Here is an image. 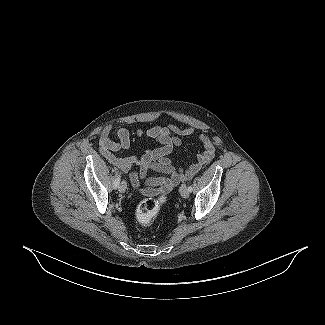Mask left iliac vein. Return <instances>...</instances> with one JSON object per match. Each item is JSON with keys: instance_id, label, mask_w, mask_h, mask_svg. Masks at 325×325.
Masks as SVG:
<instances>
[{"instance_id": "1", "label": "left iliac vein", "mask_w": 325, "mask_h": 325, "mask_svg": "<svg viewBox=\"0 0 325 325\" xmlns=\"http://www.w3.org/2000/svg\"><path fill=\"white\" fill-rule=\"evenodd\" d=\"M180 194L183 198H188L189 197V190L186 184H182L180 187Z\"/></svg>"}]
</instances>
